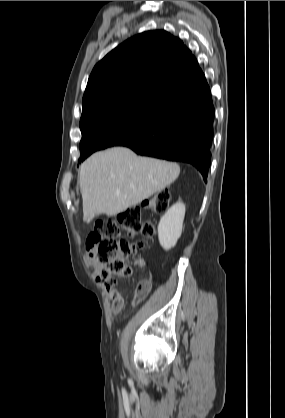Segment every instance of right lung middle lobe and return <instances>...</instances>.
I'll return each instance as SVG.
<instances>
[{
  "label": "right lung middle lobe",
  "mask_w": 285,
  "mask_h": 418,
  "mask_svg": "<svg viewBox=\"0 0 285 418\" xmlns=\"http://www.w3.org/2000/svg\"><path fill=\"white\" fill-rule=\"evenodd\" d=\"M167 106L146 100L112 104L81 118L79 163L95 151L116 146L153 123Z\"/></svg>",
  "instance_id": "1"
}]
</instances>
